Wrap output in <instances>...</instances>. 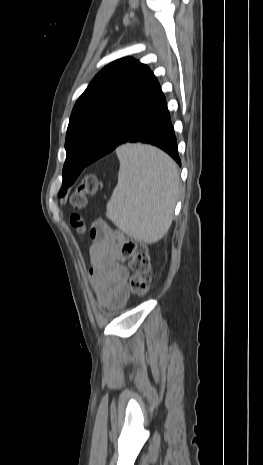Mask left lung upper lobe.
Returning <instances> with one entry per match:
<instances>
[{
  "label": "left lung upper lobe",
  "mask_w": 263,
  "mask_h": 465,
  "mask_svg": "<svg viewBox=\"0 0 263 465\" xmlns=\"http://www.w3.org/2000/svg\"><path fill=\"white\" fill-rule=\"evenodd\" d=\"M150 69L132 58H122L102 69L77 100L69 120L65 149L67 158L79 160L71 173L63 176L59 196H64L86 166L101 136L111 125L115 114L140 91Z\"/></svg>",
  "instance_id": "5c2ea615"
}]
</instances>
